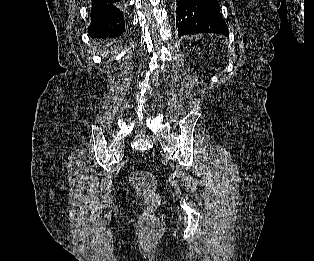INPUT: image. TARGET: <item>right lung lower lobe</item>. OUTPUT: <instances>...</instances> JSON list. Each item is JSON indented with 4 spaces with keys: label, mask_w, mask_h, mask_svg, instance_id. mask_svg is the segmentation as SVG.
<instances>
[{
    "label": "right lung lower lobe",
    "mask_w": 314,
    "mask_h": 261,
    "mask_svg": "<svg viewBox=\"0 0 314 261\" xmlns=\"http://www.w3.org/2000/svg\"><path fill=\"white\" fill-rule=\"evenodd\" d=\"M91 24L88 32L91 38L113 43L123 32L121 0H91Z\"/></svg>",
    "instance_id": "1"
}]
</instances>
